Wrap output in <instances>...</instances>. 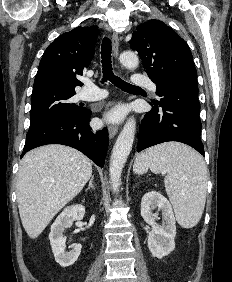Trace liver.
Segmentation results:
<instances>
[{
  "label": "liver",
  "mask_w": 232,
  "mask_h": 282,
  "mask_svg": "<svg viewBox=\"0 0 232 282\" xmlns=\"http://www.w3.org/2000/svg\"><path fill=\"white\" fill-rule=\"evenodd\" d=\"M91 176V161L71 147L51 144L26 153L18 171L17 202L28 236L37 238Z\"/></svg>",
  "instance_id": "liver-1"
}]
</instances>
